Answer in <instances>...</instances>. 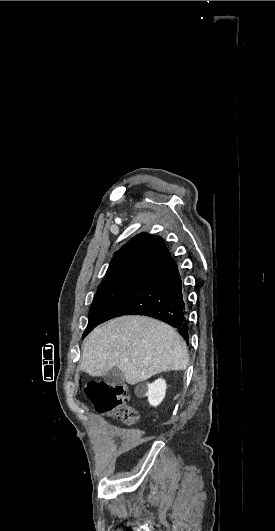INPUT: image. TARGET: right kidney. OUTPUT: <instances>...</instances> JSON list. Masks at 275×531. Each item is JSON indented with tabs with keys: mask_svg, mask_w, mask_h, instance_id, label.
I'll list each match as a JSON object with an SVG mask.
<instances>
[{
	"mask_svg": "<svg viewBox=\"0 0 275 531\" xmlns=\"http://www.w3.org/2000/svg\"><path fill=\"white\" fill-rule=\"evenodd\" d=\"M166 389V381L164 379H156L154 383H141V385H137L135 393L137 397H148V403L152 407H158L166 395Z\"/></svg>",
	"mask_w": 275,
	"mask_h": 531,
	"instance_id": "1",
	"label": "right kidney"
}]
</instances>
